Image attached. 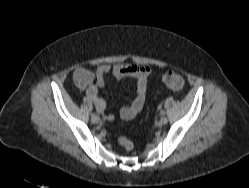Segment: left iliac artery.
Listing matches in <instances>:
<instances>
[{"mask_svg":"<svg viewBox=\"0 0 249 188\" xmlns=\"http://www.w3.org/2000/svg\"><path fill=\"white\" fill-rule=\"evenodd\" d=\"M165 113H166L165 111H161V115H165Z\"/></svg>","mask_w":249,"mask_h":188,"instance_id":"1","label":"left iliac artery"}]
</instances>
